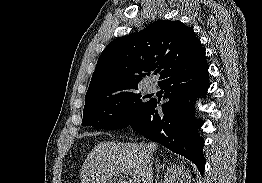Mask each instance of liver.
<instances>
[{
  "mask_svg": "<svg viewBox=\"0 0 262 183\" xmlns=\"http://www.w3.org/2000/svg\"><path fill=\"white\" fill-rule=\"evenodd\" d=\"M142 145L147 147V152ZM157 149L158 144L154 142L148 144L99 142L83 163L80 173L81 183H127L122 178H113L123 170H130L143 183H153L152 154Z\"/></svg>",
  "mask_w": 262,
  "mask_h": 183,
  "instance_id": "1",
  "label": "liver"
}]
</instances>
